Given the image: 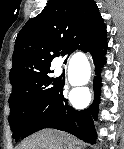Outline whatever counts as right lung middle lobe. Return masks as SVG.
I'll return each instance as SVG.
<instances>
[{
  "label": "right lung middle lobe",
  "mask_w": 124,
  "mask_h": 149,
  "mask_svg": "<svg viewBox=\"0 0 124 149\" xmlns=\"http://www.w3.org/2000/svg\"><path fill=\"white\" fill-rule=\"evenodd\" d=\"M49 73L51 71L36 76L29 83L13 89L10 95L8 120L16 142L21 138L32 116L47 102L59 85L58 81L48 76Z\"/></svg>",
  "instance_id": "dd1d6c3e"
}]
</instances>
